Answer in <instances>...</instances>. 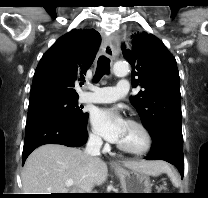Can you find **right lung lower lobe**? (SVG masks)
I'll return each mask as SVG.
<instances>
[{
    "label": "right lung lower lobe",
    "instance_id": "right-lung-lower-lobe-1",
    "mask_svg": "<svg viewBox=\"0 0 208 198\" xmlns=\"http://www.w3.org/2000/svg\"><path fill=\"white\" fill-rule=\"evenodd\" d=\"M86 126H80L60 117H47L26 124L22 164L29 154L44 144H61L78 147L88 138Z\"/></svg>",
    "mask_w": 208,
    "mask_h": 198
}]
</instances>
